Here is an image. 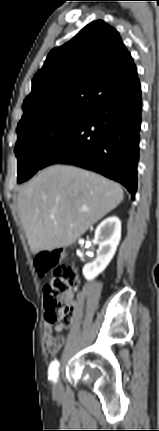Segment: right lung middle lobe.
Instances as JSON below:
<instances>
[{
	"mask_svg": "<svg viewBox=\"0 0 159 431\" xmlns=\"http://www.w3.org/2000/svg\"><path fill=\"white\" fill-rule=\"evenodd\" d=\"M87 116L84 112H60L17 130L18 183L28 180L41 169L49 152Z\"/></svg>",
	"mask_w": 159,
	"mask_h": 431,
	"instance_id": "dd1d6c3e",
	"label": "right lung middle lobe"
}]
</instances>
